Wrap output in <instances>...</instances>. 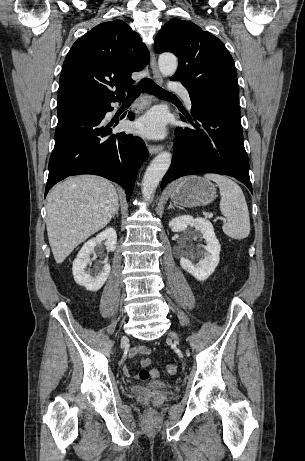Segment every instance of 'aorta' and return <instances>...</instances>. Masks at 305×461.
Masks as SVG:
<instances>
[{"label": "aorta", "mask_w": 305, "mask_h": 461, "mask_svg": "<svg viewBox=\"0 0 305 461\" xmlns=\"http://www.w3.org/2000/svg\"><path fill=\"white\" fill-rule=\"evenodd\" d=\"M158 65L160 72L164 76H172L177 70V58L173 54H162L159 56ZM171 160V154L163 151L152 160L146 169L141 189L142 195L146 200L153 198L159 182L170 167Z\"/></svg>", "instance_id": "obj_1"}]
</instances>
